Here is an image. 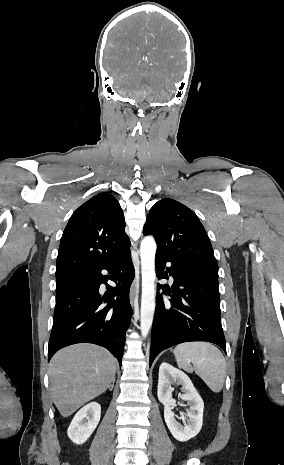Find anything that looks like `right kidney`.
<instances>
[{"mask_svg": "<svg viewBox=\"0 0 284 465\" xmlns=\"http://www.w3.org/2000/svg\"><path fill=\"white\" fill-rule=\"evenodd\" d=\"M100 415L101 407L99 403H89V405L82 407L68 427L67 435L69 439L76 445L85 443L95 431L100 421Z\"/></svg>", "mask_w": 284, "mask_h": 465, "instance_id": "obj_1", "label": "right kidney"}]
</instances>
